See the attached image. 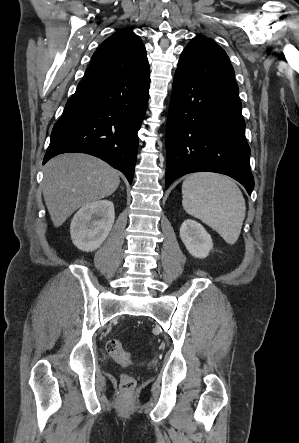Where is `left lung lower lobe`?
I'll list each match as a JSON object with an SVG mask.
<instances>
[{"label": "left lung lower lobe", "mask_w": 299, "mask_h": 443, "mask_svg": "<svg viewBox=\"0 0 299 443\" xmlns=\"http://www.w3.org/2000/svg\"><path fill=\"white\" fill-rule=\"evenodd\" d=\"M166 183L193 172H217L254 188L250 147L237 93L176 70L166 127Z\"/></svg>", "instance_id": "0a47b994"}]
</instances>
